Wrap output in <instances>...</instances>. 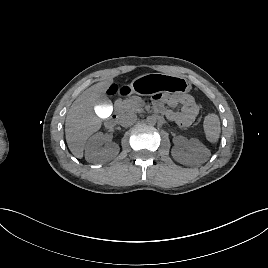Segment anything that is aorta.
Segmentation results:
<instances>
[{"label": "aorta", "mask_w": 268, "mask_h": 268, "mask_svg": "<svg viewBox=\"0 0 268 268\" xmlns=\"http://www.w3.org/2000/svg\"><path fill=\"white\" fill-rule=\"evenodd\" d=\"M146 122H147L148 125H155L156 122H157V117L155 115H149L146 118Z\"/></svg>", "instance_id": "762f6f07"}]
</instances>
